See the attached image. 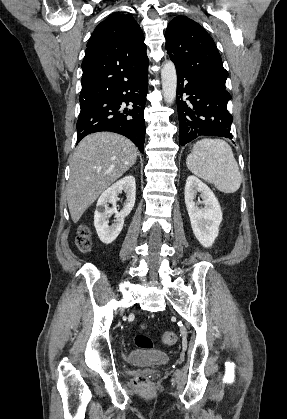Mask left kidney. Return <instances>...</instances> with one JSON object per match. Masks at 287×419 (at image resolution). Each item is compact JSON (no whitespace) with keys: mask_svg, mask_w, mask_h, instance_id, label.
I'll return each mask as SVG.
<instances>
[{"mask_svg":"<svg viewBox=\"0 0 287 419\" xmlns=\"http://www.w3.org/2000/svg\"><path fill=\"white\" fill-rule=\"evenodd\" d=\"M197 193L200 194L202 202H195ZM200 203L204 207H199ZM185 204L195 237L203 247H211L222 222L220 204L213 191L196 176L190 175L185 185Z\"/></svg>","mask_w":287,"mask_h":419,"instance_id":"obj_1","label":"left kidney"}]
</instances>
